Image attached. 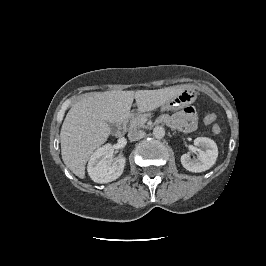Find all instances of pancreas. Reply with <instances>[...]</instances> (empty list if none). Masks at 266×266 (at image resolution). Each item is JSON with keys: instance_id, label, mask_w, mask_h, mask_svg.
<instances>
[{"instance_id": "cf45deb5", "label": "pancreas", "mask_w": 266, "mask_h": 266, "mask_svg": "<svg viewBox=\"0 0 266 266\" xmlns=\"http://www.w3.org/2000/svg\"><path fill=\"white\" fill-rule=\"evenodd\" d=\"M146 118L144 114H138L131 118L129 121L130 130L137 128H145V123L143 119Z\"/></svg>"}]
</instances>
